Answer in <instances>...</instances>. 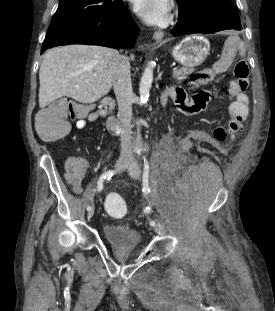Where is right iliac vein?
I'll return each mask as SVG.
<instances>
[{
  "label": "right iliac vein",
  "instance_id": "obj_1",
  "mask_svg": "<svg viewBox=\"0 0 275 311\" xmlns=\"http://www.w3.org/2000/svg\"><path fill=\"white\" fill-rule=\"evenodd\" d=\"M131 163V159L129 158H120L116 165H115V170L116 172L120 173L123 171L127 166H129ZM94 215V208L92 207L91 210L87 214V218L90 219Z\"/></svg>",
  "mask_w": 275,
  "mask_h": 311
}]
</instances>
